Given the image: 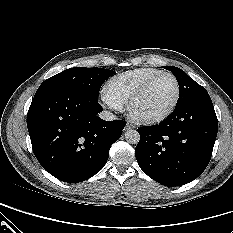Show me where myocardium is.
<instances>
[{"instance_id":"myocardium-1","label":"myocardium","mask_w":233,"mask_h":233,"mask_svg":"<svg viewBox=\"0 0 233 233\" xmlns=\"http://www.w3.org/2000/svg\"><path fill=\"white\" fill-rule=\"evenodd\" d=\"M160 76H169L173 79L174 83H175V88H176V93H175V97L174 100L172 101L171 105L162 113L157 114V115H152V116H143V115H139L136 114L134 112V106L135 104L141 99V97L145 94V92L147 91V89L149 88V86ZM180 96H181V87H180V83L178 78L169 71H160L156 74H154L153 76H151L150 78H148L129 98L128 102H127V110L129 115L135 119L136 121L140 122V123H144V124H156L159 122L164 121L165 119H167L176 109L179 100H180Z\"/></svg>"}]
</instances>
